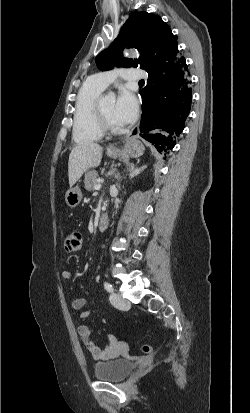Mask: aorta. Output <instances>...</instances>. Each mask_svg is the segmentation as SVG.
<instances>
[{"label": "aorta", "mask_w": 250, "mask_h": 413, "mask_svg": "<svg viewBox=\"0 0 250 413\" xmlns=\"http://www.w3.org/2000/svg\"><path fill=\"white\" fill-rule=\"evenodd\" d=\"M107 98L110 99V100H114V99H115V96H114V94L109 93L108 96H107Z\"/></svg>", "instance_id": "aorta-1"}]
</instances>
